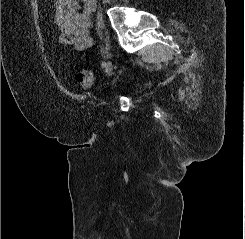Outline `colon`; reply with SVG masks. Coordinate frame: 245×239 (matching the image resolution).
<instances>
[{
	"label": "colon",
	"instance_id": "5ec220e1",
	"mask_svg": "<svg viewBox=\"0 0 245 239\" xmlns=\"http://www.w3.org/2000/svg\"><path fill=\"white\" fill-rule=\"evenodd\" d=\"M77 82L83 88H91L95 84V78L90 70L82 69L77 74Z\"/></svg>",
	"mask_w": 245,
	"mask_h": 239
}]
</instances>
